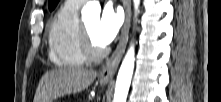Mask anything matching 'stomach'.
<instances>
[{
  "instance_id": "stomach-1",
  "label": "stomach",
  "mask_w": 221,
  "mask_h": 102,
  "mask_svg": "<svg viewBox=\"0 0 221 102\" xmlns=\"http://www.w3.org/2000/svg\"><path fill=\"white\" fill-rule=\"evenodd\" d=\"M109 82V80H100V83L102 84V85H105V84H107Z\"/></svg>"
}]
</instances>
